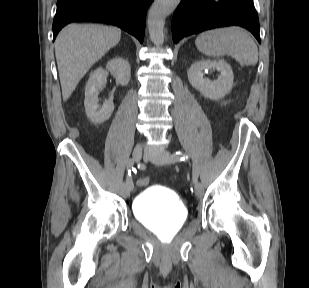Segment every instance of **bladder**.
<instances>
[{"instance_id":"31cf9c89","label":"bladder","mask_w":309,"mask_h":288,"mask_svg":"<svg viewBox=\"0 0 309 288\" xmlns=\"http://www.w3.org/2000/svg\"><path fill=\"white\" fill-rule=\"evenodd\" d=\"M133 212L140 224L159 234L180 231L188 216L178 196L165 188L153 186L135 197Z\"/></svg>"}]
</instances>
